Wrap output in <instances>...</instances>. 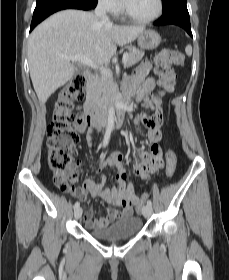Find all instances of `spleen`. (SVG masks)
<instances>
[{
	"instance_id": "3e777b00",
	"label": "spleen",
	"mask_w": 229,
	"mask_h": 280,
	"mask_svg": "<svg viewBox=\"0 0 229 280\" xmlns=\"http://www.w3.org/2000/svg\"><path fill=\"white\" fill-rule=\"evenodd\" d=\"M186 53L189 55L192 52V48L190 45H188L185 49Z\"/></svg>"
}]
</instances>
